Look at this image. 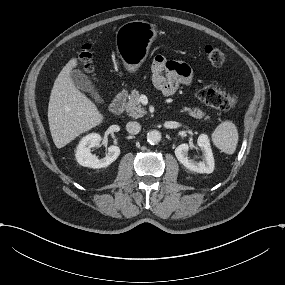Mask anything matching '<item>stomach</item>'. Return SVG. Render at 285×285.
Segmentation results:
<instances>
[{
	"label": "stomach",
	"instance_id": "1",
	"mask_svg": "<svg viewBox=\"0 0 285 285\" xmlns=\"http://www.w3.org/2000/svg\"><path fill=\"white\" fill-rule=\"evenodd\" d=\"M156 36V26L143 20L130 21L118 28L116 48L128 72H135L142 65Z\"/></svg>",
	"mask_w": 285,
	"mask_h": 285
}]
</instances>
